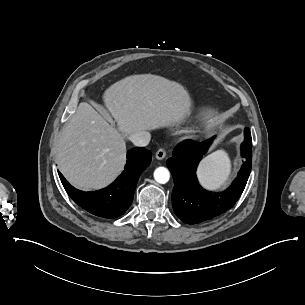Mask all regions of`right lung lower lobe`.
<instances>
[{
    "label": "right lung lower lobe",
    "instance_id": "1",
    "mask_svg": "<svg viewBox=\"0 0 305 305\" xmlns=\"http://www.w3.org/2000/svg\"><path fill=\"white\" fill-rule=\"evenodd\" d=\"M151 162V152L133 148L127 153V163L122 174L108 187L83 192L73 186L59 172L61 182L73 201L93 215L115 218L123 215L132 203L137 181Z\"/></svg>",
    "mask_w": 305,
    "mask_h": 305
}]
</instances>
